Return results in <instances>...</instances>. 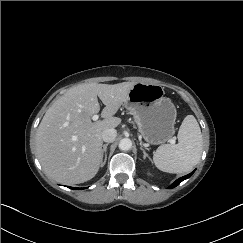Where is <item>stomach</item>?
<instances>
[{
  "instance_id": "0dacf381",
  "label": "stomach",
  "mask_w": 243,
  "mask_h": 243,
  "mask_svg": "<svg viewBox=\"0 0 243 243\" xmlns=\"http://www.w3.org/2000/svg\"><path fill=\"white\" fill-rule=\"evenodd\" d=\"M164 94V88L159 84L137 82L124 102L141 136L151 145L163 144L175 133L177 111Z\"/></svg>"
}]
</instances>
